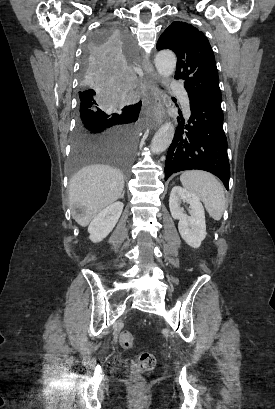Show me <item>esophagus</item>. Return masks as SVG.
Wrapping results in <instances>:
<instances>
[{"label":"esophagus","instance_id":"34e87169","mask_svg":"<svg viewBox=\"0 0 275 409\" xmlns=\"http://www.w3.org/2000/svg\"><path fill=\"white\" fill-rule=\"evenodd\" d=\"M142 68L145 73L146 82L151 94L153 95V114L156 125H160L164 120V105L161 98V91L158 88V77L154 73L149 58L144 56Z\"/></svg>","mask_w":275,"mask_h":409}]
</instances>
